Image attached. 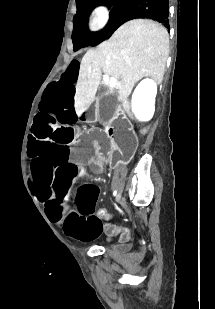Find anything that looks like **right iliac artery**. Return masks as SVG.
<instances>
[{"label":"right iliac artery","instance_id":"right-iliac-artery-1","mask_svg":"<svg viewBox=\"0 0 215 309\" xmlns=\"http://www.w3.org/2000/svg\"><path fill=\"white\" fill-rule=\"evenodd\" d=\"M116 194H117V191H116V190H114L113 195H114V196H116Z\"/></svg>","mask_w":215,"mask_h":309}]
</instances>
